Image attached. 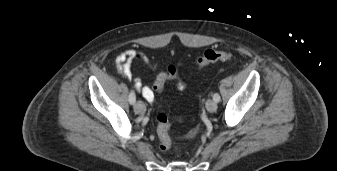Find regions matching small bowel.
I'll list each match as a JSON object with an SVG mask.
<instances>
[{
    "instance_id": "1",
    "label": "small bowel",
    "mask_w": 337,
    "mask_h": 171,
    "mask_svg": "<svg viewBox=\"0 0 337 171\" xmlns=\"http://www.w3.org/2000/svg\"><path fill=\"white\" fill-rule=\"evenodd\" d=\"M133 62H139L149 70H154L156 65L144 52L135 49H126L122 51L115 60L117 73L128 80H134L137 92H139L148 102H153L155 100L154 87L145 85L139 77H133L131 69Z\"/></svg>"
}]
</instances>
